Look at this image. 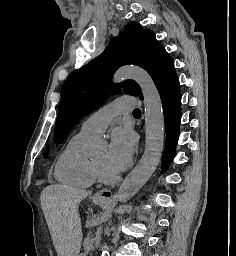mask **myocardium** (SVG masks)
Listing matches in <instances>:
<instances>
[{"label": "myocardium", "instance_id": "myocardium-1", "mask_svg": "<svg viewBox=\"0 0 236 256\" xmlns=\"http://www.w3.org/2000/svg\"><path fill=\"white\" fill-rule=\"evenodd\" d=\"M92 166L95 172L97 179L104 184H115L118 183L121 179L119 174H110L105 172L98 164L92 161Z\"/></svg>", "mask_w": 236, "mask_h": 256}]
</instances>
